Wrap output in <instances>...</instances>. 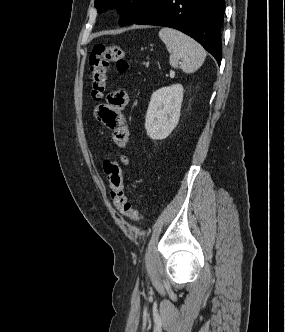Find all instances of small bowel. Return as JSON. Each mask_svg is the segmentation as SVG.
I'll return each instance as SVG.
<instances>
[{
  "label": "small bowel",
  "instance_id": "c3829d8e",
  "mask_svg": "<svg viewBox=\"0 0 285 332\" xmlns=\"http://www.w3.org/2000/svg\"><path fill=\"white\" fill-rule=\"evenodd\" d=\"M128 101V93L118 89L109 94L107 103L95 109L96 119L112 131L113 142L120 149L126 148L129 143V129L123 114ZM122 160L124 163L129 162L126 156H122Z\"/></svg>",
  "mask_w": 285,
  "mask_h": 332
}]
</instances>
